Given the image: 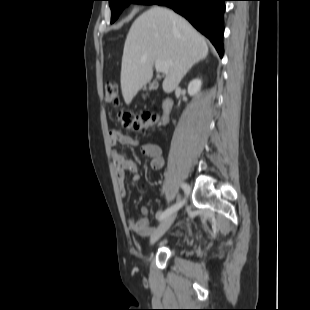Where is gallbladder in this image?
I'll return each mask as SVG.
<instances>
[{
  "mask_svg": "<svg viewBox=\"0 0 310 310\" xmlns=\"http://www.w3.org/2000/svg\"><path fill=\"white\" fill-rule=\"evenodd\" d=\"M158 88V82H153L149 85V90H154Z\"/></svg>",
  "mask_w": 310,
  "mask_h": 310,
  "instance_id": "1",
  "label": "gallbladder"
}]
</instances>
